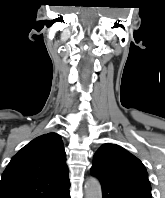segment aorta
<instances>
[{
	"instance_id": "1",
	"label": "aorta",
	"mask_w": 165,
	"mask_h": 198,
	"mask_svg": "<svg viewBox=\"0 0 165 198\" xmlns=\"http://www.w3.org/2000/svg\"><path fill=\"white\" fill-rule=\"evenodd\" d=\"M85 198H102V190L100 182L94 178L90 177L84 186Z\"/></svg>"
}]
</instances>
